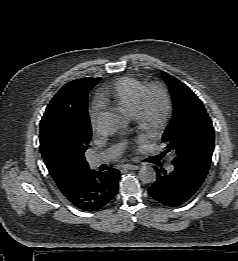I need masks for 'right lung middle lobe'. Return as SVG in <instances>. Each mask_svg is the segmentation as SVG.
<instances>
[{
    "instance_id": "right-lung-middle-lobe-1",
    "label": "right lung middle lobe",
    "mask_w": 238,
    "mask_h": 261,
    "mask_svg": "<svg viewBox=\"0 0 238 261\" xmlns=\"http://www.w3.org/2000/svg\"><path fill=\"white\" fill-rule=\"evenodd\" d=\"M97 82L80 84L71 81L52 98L40 123V150L47 168L72 169L85 163L87 147L75 149L63 142L56 122L63 119L75 121L87 119V96Z\"/></svg>"
}]
</instances>
